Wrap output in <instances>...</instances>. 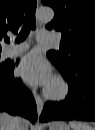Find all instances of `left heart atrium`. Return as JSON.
Segmentation results:
<instances>
[{
    "label": "left heart atrium",
    "instance_id": "39dd6f15",
    "mask_svg": "<svg viewBox=\"0 0 95 130\" xmlns=\"http://www.w3.org/2000/svg\"><path fill=\"white\" fill-rule=\"evenodd\" d=\"M18 74L33 85H46L51 81L50 66L37 51L30 52L20 61Z\"/></svg>",
    "mask_w": 95,
    "mask_h": 130
}]
</instances>
